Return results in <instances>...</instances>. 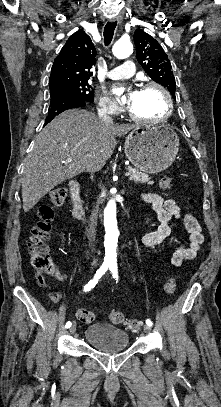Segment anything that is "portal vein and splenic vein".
Returning <instances> with one entry per match:
<instances>
[{
    "label": "portal vein and splenic vein",
    "mask_w": 221,
    "mask_h": 407,
    "mask_svg": "<svg viewBox=\"0 0 221 407\" xmlns=\"http://www.w3.org/2000/svg\"><path fill=\"white\" fill-rule=\"evenodd\" d=\"M72 161V157L68 156V159L66 160V163H69ZM125 176H130V172H126Z\"/></svg>",
    "instance_id": "obj_1"
}]
</instances>
